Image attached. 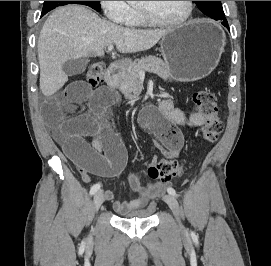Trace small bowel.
<instances>
[{
    "label": "small bowel",
    "mask_w": 271,
    "mask_h": 266,
    "mask_svg": "<svg viewBox=\"0 0 271 266\" xmlns=\"http://www.w3.org/2000/svg\"><path fill=\"white\" fill-rule=\"evenodd\" d=\"M83 69L84 61L80 59L72 60L65 66L67 76L80 74ZM83 101H89L90 110L84 115L67 119L65 111ZM115 102L116 97L106 88L92 92L85 82L74 81L65 84L43 105L45 120L52 128L55 139L76 164L85 182H89L92 175L119 177L126 166V149L107 118ZM158 111L159 116L151 111L143 115L142 125L152 129L161 143L163 154L174 158L184 143L180 127H201L204 117L199 112L186 116L169 98L161 100ZM86 138H91L92 143H88ZM125 179L138 196L132 200L114 201V210L123 215L144 208L167 186V182L144 186L135 175H127ZM104 198L112 201L113 192L105 191Z\"/></svg>",
    "instance_id": "c3829d8e"
}]
</instances>
